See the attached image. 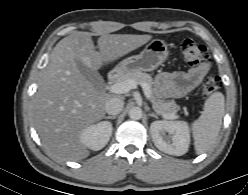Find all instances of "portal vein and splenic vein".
Wrapping results in <instances>:
<instances>
[{
	"label": "portal vein and splenic vein",
	"mask_w": 248,
	"mask_h": 195,
	"mask_svg": "<svg viewBox=\"0 0 248 195\" xmlns=\"http://www.w3.org/2000/svg\"><path fill=\"white\" fill-rule=\"evenodd\" d=\"M138 83L135 80H126L123 82L115 83L109 86V91L114 94H124L129 92L131 89L137 88ZM141 87L144 91L145 97L150 100L151 99V90L150 87L146 83H142ZM165 118H168L165 116Z\"/></svg>",
	"instance_id": "obj_1"
}]
</instances>
